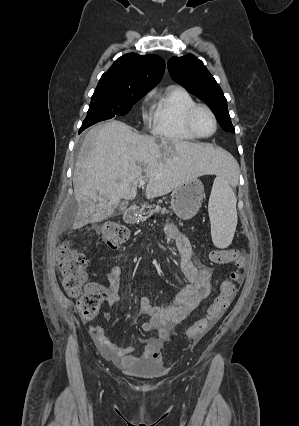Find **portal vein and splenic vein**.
<instances>
[{
	"mask_svg": "<svg viewBox=\"0 0 299 426\" xmlns=\"http://www.w3.org/2000/svg\"><path fill=\"white\" fill-rule=\"evenodd\" d=\"M139 185H140V186H144V185H145V181H144V180H140V181H139Z\"/></svg>",
	"mask_w": 299,
	"mask_h": 426,
	"instance_id": "portal-vein-and-splenic-vein-1",
	"label": "portal vein and splenic vein"
}]
</instances>
